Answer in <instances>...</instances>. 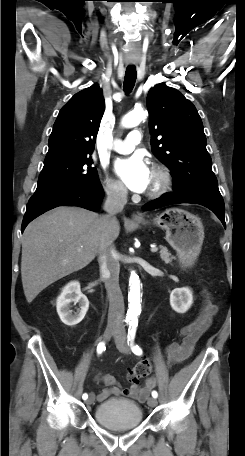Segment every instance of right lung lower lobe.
Returning a JSON list of instances; mask_svg holds the SVG:
<instances>
[{
    "label": "right lung lower lobe",
    "mask_w": 245,
    "mask_h": 456,
    "mask_svg": "<svg viewBox=\"0 0 245 456\" xmlns=\"http://www.w3.org/2000/svg\"><path fill=\"white\" fill-rule=\"evenodd\" d=\"M103 196L100 184L90 188L65 189L33 195L27 205L21 231L36 217L57 206H79L96 211Z\"/></svg>",
    "instance_id": "obj_1"
}]
</instances>
